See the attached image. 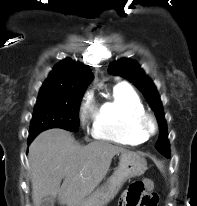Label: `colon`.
I'll return each mask as SVG.
<instances>
[{
	"mask_svg": "<svg viewBox=\"0 0 197 206\" xmlns=\"http://www.w3.org/2000/svg\"><path fill=\"white\" fill-rule=\"evenodd\" d=\"M150 180L136 181L132 183L126 195V201L129 206H156L157 197L150 191Z\"/></svg>",
	"mask_w": 197,
	"mask_h": 206,
	"instance_id": "obj_1",
	"label": "colon"
}]
</instances>
